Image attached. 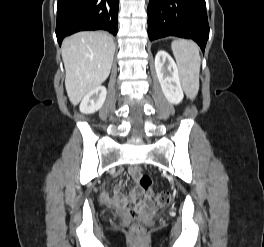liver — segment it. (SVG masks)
Segmentation results:
<instances>
[{"label": "liver", "instance_id": "liver-1", "mask_svg": "<svg viewBox=\"0 0 264 247\" xmlns=\"http://www.w3.org/2000/svg\"><path fill=\"white\" fill-rule=\"evenodd\" d=\"M114 52V41L104 32H79L63 41L65 87L73 105L108 78Z\"/></svg>", "mask_w": 264, "mask_h": 247}]
</instances>
